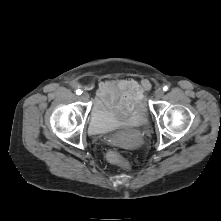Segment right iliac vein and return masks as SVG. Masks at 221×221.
Wrapping results in <instances>:
<instances>
[{"mask_svg": "<svg viewBox=\"0 0 221 221\" xmlns=\"http://www.w3.org/2000/svg\"><path fill=\"white\" fill-rule=\"evenodd\" d=\"M81 99L83 101H88L89 99V94L87 92H83L82 95H81Z\"/></svg>", "mask_w": 221, "mask_h": 221, "instance_id": "obj_1", "label": "right iliac vein"}]
</instances>
